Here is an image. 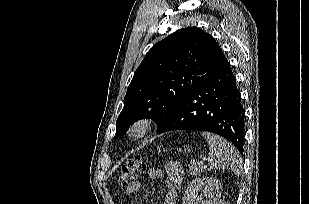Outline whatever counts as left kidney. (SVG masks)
<instances>
[{
  "label": "left kidney",
  "instance_id": "5707ae66",
  "mask_svg": "<svg viewBox=\"0 0 309 204\" xmlns=\"http://www.w3.org/2000/svg\"><path fill=\"white\" fill-rule=\"evenodd\" d=\"M198 192H203L207 201H203L198 196ZM221 184L215 178L198 177L194 179L187 187L182 204H193L200 201L201 204H220Z\"/></svg>",
  "mask_w": 309,
  "mask_h": 204
}]
</instances>
